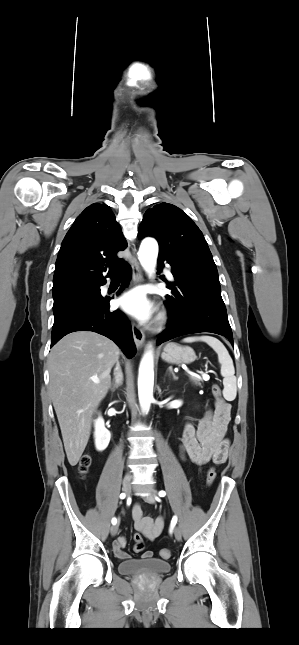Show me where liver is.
Returning a JSON list of instances; mask_svg holds the SVG:
<instances>
[{
    "instance_id": "liver-1",
    "label": "liver",
    "mask_w": 299,
    "mask_h": 645,
    "mask_svg": "<svg viewBox=\"0 0 299 645\" xmlns=\"http://www.w3.org/2000/svg\"><path fill=\"white\" fill-rule=\"evenodd\" d=\"M118 355L114 342L90 331L68 334L50 352L49 392L71 466L88 443L92 415L108 393Z\"/></svg>"
}]
</instances>
